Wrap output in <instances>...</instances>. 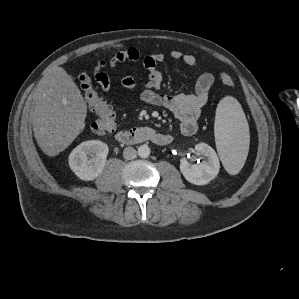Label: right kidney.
Masks as SVG:
<instances>
[{"instance_id":"ca27d5eb","label":"right kidney","mask_w":299,"mask_h":299,"mask_svg":"<svg viewBox=\"0 0 299 299\" xmlns=\"http://www.w3.org/2000/svg\"><path fill=\"white\" fill-rule=\"evenodd\" d=\"M108 152V146L101 141L82 142L70 153L69 166L79 179L94 180L102 172Z\"/></svg>"}]
</instances>
